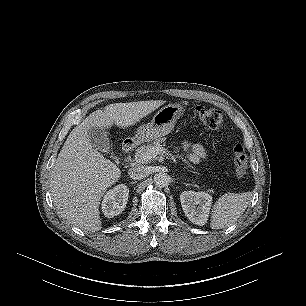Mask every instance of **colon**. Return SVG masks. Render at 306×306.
I'll use <instances>...</instances> for the list:
<instances>
[{
    "label": "colon",
    "mask_w": 306,
    "mask_h": 306,
    "mask_svg": "<svg viewBox=\"0 0 306 306\" xmlns=\"http://www.w3.org/2000/svg\"><path fill=\"white\" fill-rule=\"evenodd\" d=\"M195 112L202 124L208 129L218 130L224 124L223 114L218 109L198 105L195 108ZM232 150L235 174L237 178L242 179L245 176L248 167L247 154L240 142L234 143Z\"/></svg>",
    "instance_id": "5ec220e1"
}]
</instances>
